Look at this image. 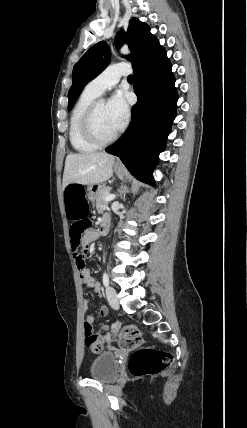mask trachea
<instances>
[{
    "label": "trachea",
    "mask_w": 247,
    "mask_h": 428,
    "mask_svg": "<svg viewBox=\"0 0 247 428\" xmlns=\"http://www.w3.org/2000/svg\"><path fill=\"white\" fill-rule=\"evenodd\" d=\"M127 79H128L129 81H133V76H132V75H129Z\"/></svg>",
    "instance_id": "1"
}]
</instances>
